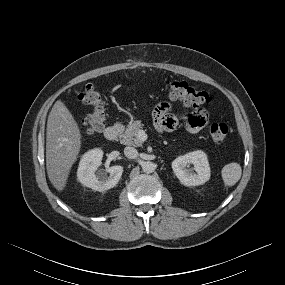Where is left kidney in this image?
I'll return each instance as SVG.
<instances>
[{
	"label": "left kidney",
	"instance_id": "left-kidney-1",
	"mask_svg": "<svg viewBox=\"0 0 285 285\" xmlns=\"http://www.w3.org/2000/svg\"><path fill=\"white\" fill-rule=\"evenodd\" d=\"M189 164L194 165L195 172L187 168ZM172 169L180 182L185 186L202 185L210 179L208 159L201 150L177 157L172 162Z\"/></svg>",
	"mask_w": 285,
	"mask_h": 285
}]
</instances>
